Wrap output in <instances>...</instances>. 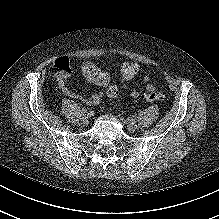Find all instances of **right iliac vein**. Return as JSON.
<instances>
[{"label": "right iliac vein", "mask_w": 219, "mask_h": 219, "mask_svg": "<svg viewBox=\"0 0 219 219\" xmlns=\"http://www.w3.org/2000/svg\"><path fill=\"white\" fill-rule=\"evenodd\" d=\"M88 118H89L88 114H82L80 116V120L84 123L88 121Z\"/></svg>", "instance_id": "obj_1"}]
</instances>
